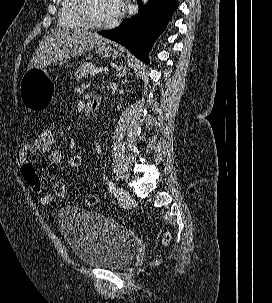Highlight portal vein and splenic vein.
Listing matches in <instances>:
<instances>
[{
	"label": "portal vein and splenic vein",
	"mask_w": 272,
	"mask_h": 303,
	"mask_svg": "<svg viewBox=\"0 0 272 303\" xmlns=\"http://www.w3.org/2000/svg\"><path fill=\"white\" fill-rule=\"evenodd\" d=\"M106 71H108L107 68H102V67L94 68V69L91 70L90 75L93 76V75H96L98 73H102V72H106Z\"/></svg>",
	"instance_id": "portal-vein-and-splenic-vein-1"
}]
</instances>
